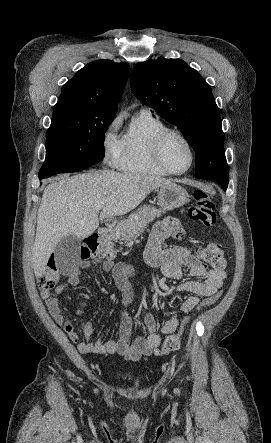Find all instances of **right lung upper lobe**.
Returning <instances> with one entry per match:
<instances>
[{"label":"right lung upper lobe","instance_id":"1","mask_svg":"<svg viewBox=\"0 0 271 443\" xmlns=\"http://www.w3.org/2000/svg\"><path fill=\"white\" fill-rule=\"evenodd\" d=\"M129 72L125 62L88 63L63 85L55 106H73L90 117L114 116Z\"/></svg>","mask_w":271,"mask_h":443}]
</instances>
